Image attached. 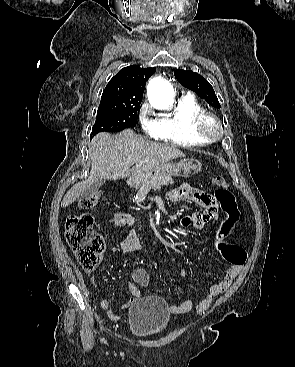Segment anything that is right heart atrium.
Masks as SVG:
<instances>
[{"mask_svg":"<svg viewBox=\"0 0 295 367\" xmlns=\"http://www.w3.org/2000/svg\"><path fill=\"white\" fill-rule=\"evenodd\" d=\"M139 121L142 129L150 136L157 138L160 134V123L153 115L149 104H143L139 112Z\"/></svg>","mask_w":295,"mask_h":367,"instance_id":"1","label":"right heart atrium"}]
</instances>
